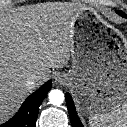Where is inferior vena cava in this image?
Returning <instances> with one entry per match:
<instances>
[{"instance_id": "602c4592", "label": "inferior vena cava", "mask_w": 127, "mask_h": 127, "mask_svg": "<svg viewBox=\"0 0 127 127\" xmlns=\"http://www.w3.org/2000/svg\"><path fill=\"white\" fill-rule=\"evenodd\" d=\"M38 78L39 76L30 77L28 81L26 82V87L28 89H32L35 86V83L37 82Z\"/></svg>"}]
</instances>
